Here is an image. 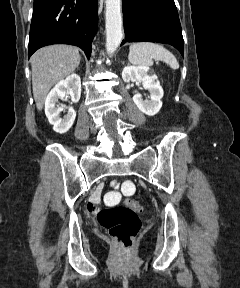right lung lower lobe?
<instances>
[{
    "label": "right lung lower lobe",
    "instance_id": "98d812e1",
    "mask_svg": "<svg viewBox=\"0 0 240 288\" xmlns=\"http://www.w3.org/2000/svg\"><path fill=\"white\" fill-rule=\"evenodd\" d=\"M97 22V0H34L29 56L43 46L70 44L89 59Z\"/></svg>",
    "mask_w": 240,
    "mask_h": 288
}]
</instances>
